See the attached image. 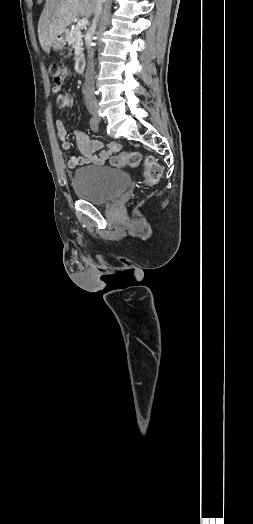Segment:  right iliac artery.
I'll use <instances>...</instances> for the list:
<instances>
[{
	"mask_svg": "<svg viewBox=\"0 0 253 524\" xmlns=\"http://www.w3.org/2000/svg\"><path fill=\"white\" fill-rule=\"evenodd\" d=\"M90 128L92 129L93 132H98V129H99V126H98V122L95 118H90Z\"/></svg>",
	"mask_w": 253,
	"mask_h": 524,
	"instance_id": "1",
	"label": "right iliac artery"
}]
</instances>
